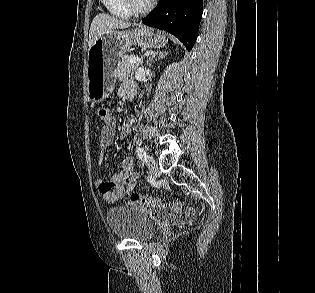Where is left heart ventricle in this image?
Segmentation results:
<instances>
[{
    "instance_id": "obj_1",
    "label": "left heart ventricle",
    "mask_w": 315,
    "mask_h": 293,
    "mask_svg": "<svg viewBox=\"0 0 315 293\" xmlns=\"http://www.w3.org/2000/svg\"><path fill=\"white\" fill-rule=\"evenodd\" d=\"M137 5L144 6L146 5L150 0H135Z\"/></svg>"
}]
</instances>
